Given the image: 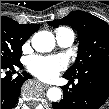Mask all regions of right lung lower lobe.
<instances>
[{
	"mask_svg": "<svg viewBox=\"0 0 109 109\" xmlns=\"http://www.w3.org/2000/svg\"><path fill=\"white\" fill-rule=\"evenodd\" d=\"M14 66L22 67L18 63L8 67L1 66V70L7 69L13 71ZM29 78H32V76L26 72L18 74L15 79L12 77L1 78V109H12L14 107L20 95L23 82Z\"/></svg>",
	"mask_w": 109,
	"mask_h": 109,
	"instance_id": "98d812e1",
	"label": "right lung lower lobe"
}]
</instances>
